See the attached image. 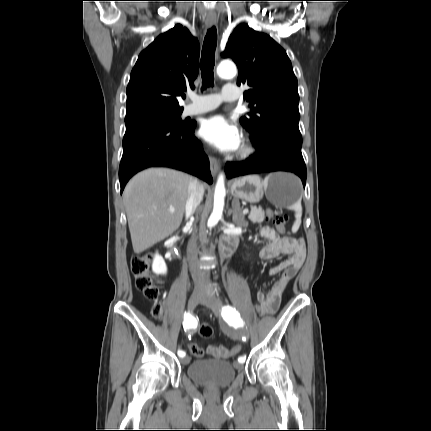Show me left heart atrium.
<instances>
[{
	"mask_svg": "<svg viewBox=\"0 0 431 431\" xmlns=\"http://www.w3.org/2000/svg\"><path fill=\"white\" fill-rule=\"evenodd\" d=\"M199 132L206 141L225 151H235L241 144L237 127L219 115L203 120Z\"/></svg>",
	"mask_w": 431,
	"mask_h": 431,
	"instance_id": "left-heart-atrium-1",
	"label": "left heart atrium"
}]
</instances>
